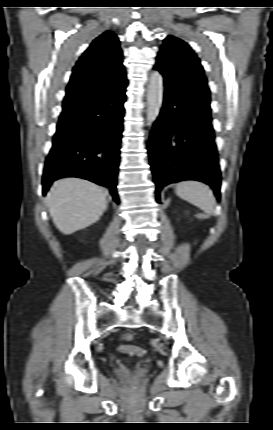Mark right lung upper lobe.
Here are the masks:
<instances>
[{
    "label": "right lung upper lobe",
    "mask_w": 273,
    "mask_h": 430,
    "mask_svg": "<svg viewBox=\"0 0 273 430\" xmlns=\"http://www.w3.org/2000/svg\"><path fill=\"white\" fill-rule=\"evenodd\" d=\"M122 51L117 36L106 31L97 37L73 68L63 102L62 115L74 116L91 101V95L107 84H126Z\"/></svg>",
    "instance_id": "right-lung-upper-lobe-1"
}]
</instances>
